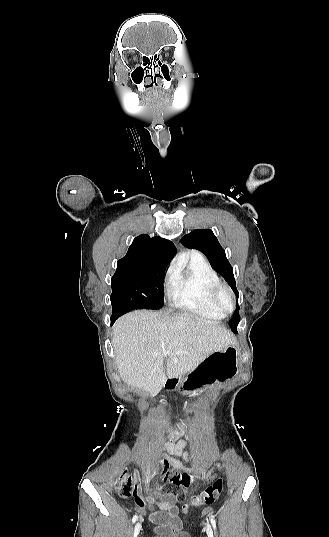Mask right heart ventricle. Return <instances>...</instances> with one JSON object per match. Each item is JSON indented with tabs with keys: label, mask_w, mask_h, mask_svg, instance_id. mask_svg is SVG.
<instances>
[{
	"label": "right heart ventricle",
	"mask_w": 329,
	"mask_h": 537,
	"mask_svg": "<svg viewBox=\"0 0 329 537\" xmlns=\"http://www.w3.org/2000/svg\"><path fill=\"white\" fill-rule=\"evenodd\" d=\"M218 283L219 277L209 262L199 254H192L186 263L175 269L168 297L173 307L183 312L222 319L224 314L213 305L210 297L212 287Z\"/></svg>",
	"instance_id": "e07e8e85"
}]
</instances>
